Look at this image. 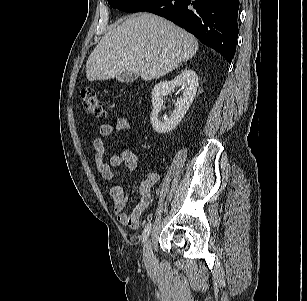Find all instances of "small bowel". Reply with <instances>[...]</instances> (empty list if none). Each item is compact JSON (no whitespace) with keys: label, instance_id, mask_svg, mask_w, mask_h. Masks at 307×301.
<instances>
[{"label":"small bowel","instance_id":"1","mask_svg":"<svg viewBox=\"0 0 307 301\" xmlns=\"http://www.w3.org/2000/svg\"><path fill=\"white\" fill-rule=\"evenodd\" d=\"M131 129L130 121L127 117L117 118L114 125L109 123L101 124L99 128L100 136L92 139V147L95 150V163L101 176L109 181H114L115 176L113 168L124 166L128 172L134 171L138 167L139 158L131 150L112 155L109 161H104L105 153L108 148L116 144L120 133ZM109 141L112 143L110 144ZM158 181V175L154 172L143 170V178L139 184V198L136 200L130 210L124 211L129 200V193L125 191L122 185L114 184L109 190V194L114 204V213L118 221L124 226L136 229L146 211L151 200L153 186Z\"/></svg>","mask_w":307,"mask_h":301}]
</instances>
